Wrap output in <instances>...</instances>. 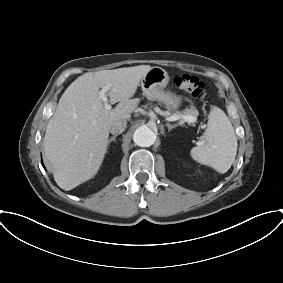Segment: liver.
Instances as JSON below:
<instances>
[{
    "instance_id": "liver-1",
    "label": "liver",
    "mask_w": 283,
    "mask_h": 283,
    "mask_svg": "<svg viewBox=\"0 0 283 283\" xmlns=\"http://www.w3.org/2000/svg\"><path fill=\"white\" fill-rule=\"evenodd\" d=\"M150 65L85 73L61 96L49 120L44 153L57 185L72 190L91 179L99 170L113 123L130 119L140 100L132 99ZM107 91L114 109L106 110L99 89Z\"/></svg>"
}]
</instances>
